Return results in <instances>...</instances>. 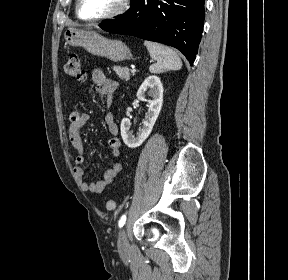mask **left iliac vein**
Here are the masks:
<instances>
[{
    "label": "left iliac vein",
    "instance_id": "left-iliac-vein-1",
    "mask_svg": "<svg viewBox=\"0 0 288 280\" xmlns=\"http://www.w3.org/2000/svg\"><path fill=\"white\" fill-rule=\"evenodd\" d=\"M128 245L129 244H128L125 228H121L119 230V234H118L119 249L125 250V249H127Z\"/></svg>",
    "mask_w": 288,
    "mask_h": 280
}]
</instances>
